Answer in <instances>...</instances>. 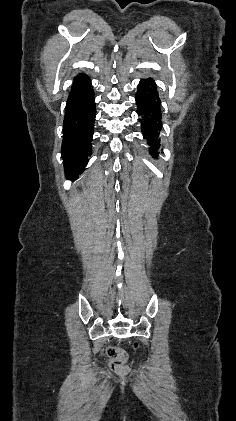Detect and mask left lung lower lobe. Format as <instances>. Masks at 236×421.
Listing matches in <instances>:
<instances>
[{
	"label": "left lung lower lobe",
	"instance_id": "left-lung-lower-lobe-1",
	"mask_svg": "<svg viewBox=\"0 0 236 421\" xmlns=\"http://www.w3.org/2000/svg\"><path fill=\"white\" fill-rule=\"evenodd\" d=\"M137 113L141 116V131L150 146V154L157 157L160 146L161 100L157 85L152 78L141 79L136 93Z\"/></svg>",
	"mask_w": 236,
	"mask_h": 421
}]
</instances>
